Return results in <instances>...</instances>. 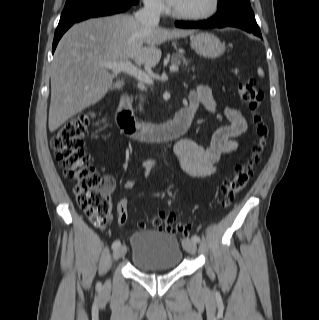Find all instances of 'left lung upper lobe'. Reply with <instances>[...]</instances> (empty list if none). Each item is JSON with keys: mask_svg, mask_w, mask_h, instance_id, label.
<instances>
[{"mask_svg": "<svg viewBox=\"0 0 319 320\" xmlns=\"http://www.w3.org/2000/svg\"><path fill=\"white\" fill-rule=\"evenodd\" d=\"M250 6L249 0H218V10L232 6Z\"/></svg>", "mask_w": 319, "mask_h": 320, "instance_id": "left-lung-upper-lobe-1", "label": "left lung upper lobe"}]
</instances>
